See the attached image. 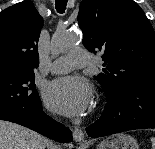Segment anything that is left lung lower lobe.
Returning <instances> with one entry per match:
<instances>
[{"label":"left lung lower lobe","mask_w":155,"mask_h":149,"mask_svg":"<svg viewBox=\"0 0 155 149\" xmlns=\"http://www.w3.org/2000/svg\"><path fill=\"white\" fill-rule=\"evenodd\" d=\"M107 98L101 118L86 128L88 136L96 138L128 130L155 128V79L129 83L108 93Z\"/></svg>","instance_id":"obj_1"}]
</instances>
